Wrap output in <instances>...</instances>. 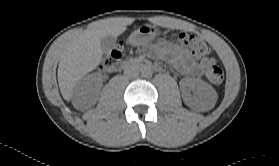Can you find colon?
<instances>
[{"label": "colon", "mask_w": 279, "mask_h": 166, "mask_svg": "<svg viewBox=\"0 0 279 166\" xmlns=\"http://www.w3.org/2000/svg\"><path fill=\"white\" fill-rule=\"evenodd\" d=\"M174 40L189 48L192 54L197 58H201L209 53V47L207 44L194 35L188 33H179L174 36ZM121 51L122 47L118 45L109 53H107L102 60L101 68H111L121 56ZM205 75L207 80L214 85L221 84L224 79L223 69L215 64L208 66Z\"/></svg>", "instance_id": "colon-1"}]
</instances>
